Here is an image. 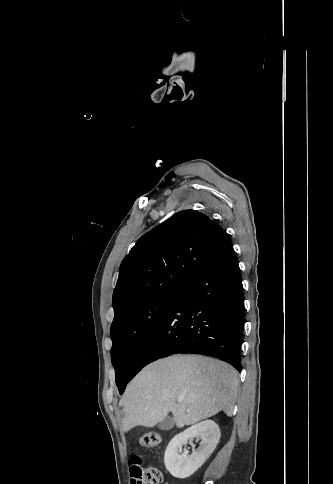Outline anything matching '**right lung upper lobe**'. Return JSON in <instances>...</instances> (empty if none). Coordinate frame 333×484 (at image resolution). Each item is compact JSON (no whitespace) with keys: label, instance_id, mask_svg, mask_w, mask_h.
Returning a JSON list of instances; mask_svg holds the SVG:
<instances>
[{"label":"right lung upper lobe","instance_id":"1","mask_svg":"<svg viewBox=\"0 0 333 484\" xmlns=\"http://www.w3.org/2000/svg\"><path fill=\"white\" fill-rule=\"evenodd\" d=\"M231 247L228 234L207 215L194 210L174 214L143 235L122 261L113 321L154 296L180 290Z\"/></svg>","mask_w":333,"mask_h":484}]
</instances>
